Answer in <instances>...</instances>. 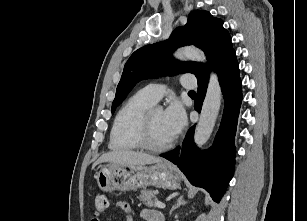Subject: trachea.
<instances>
[{
    "instance_id": "1",
    "label": "trachea",
    "mask_w": 307,
    "mask_h": 221,
    "mask_svg": "<svg viewBox=\"0 0 307 221\" xmlns=\"http://www.w3.org/2000/svg\"><path fill=\"white\" fill-rule=\"evenodd\" d=\"M189 93H191V94H195V91L191 90V91H189Z\"/></svg>"
}]
</instances>
